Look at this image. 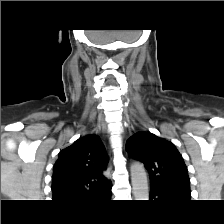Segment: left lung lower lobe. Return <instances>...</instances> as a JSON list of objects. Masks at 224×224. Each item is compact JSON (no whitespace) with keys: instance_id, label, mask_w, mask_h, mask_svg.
<instances>
[{"instance_id":"1","label":"left lung lower lobe","mask_w":224,"mask_h":224,"mask_svg":"<svg viewBox=\"0 0 224 224\" xmlns=\"http://www.w3.org/2000/svg\"><path fill=\"white\" fill-rule=\"evenodd\" d=\"M190 199V193L184 191H172L163 190L154 186H151L150 200L157 202H187Z\"/></svg>"}]
</instances>
